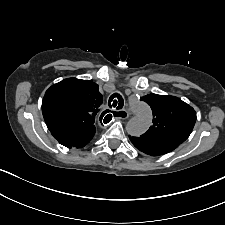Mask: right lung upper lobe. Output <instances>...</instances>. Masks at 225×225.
Listing matches in <instances>:
<instances>
[{"instance_id": "cb5924a9", "label": "right lung upper lobe", "mask_w": 225, "mask_h": 225, "mask_svg": "<svg viewBox=\"0 0 225 225\" xmlns=\"http://www.w3.org/2000/svg\"><path fill=\"white\" fill-rule=\"evenodd\" d=\"M102 101L103 96L96 83L68 78L46 91L42 113L49 130L72 129L94 134V122L99 117Z\"/></svg>"}]
</instances>
